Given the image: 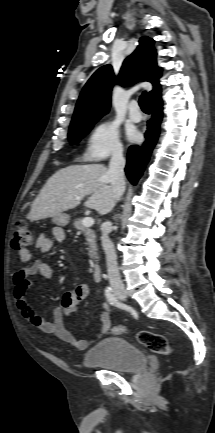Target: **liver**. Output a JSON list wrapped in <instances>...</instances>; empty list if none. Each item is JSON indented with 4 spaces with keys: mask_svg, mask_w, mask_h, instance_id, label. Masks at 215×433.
<instances>
[{
    "mask_svg": "<svg viewBox=\"0 0 215 433\" xmlns=\"http://www.w3.org/2000/svg\"><path fill=\"white\" fill-rule=\"evenodd\" d=\"M102 164L71 165L53 174L31 205V221L55 217L77 207L90 195L85 206L104 215L115 206L116 197Z\"/></svg>",
    "mask_w": 215,
    "mask_h": 433,
    "instance_id": "obj_1",
    "label": "liver"
}]
</instances>
